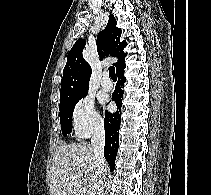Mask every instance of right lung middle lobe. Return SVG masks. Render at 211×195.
<instances>
[{"label": "right lung middle lobe", "instance_id": "obj_1", "mask_svg": "<svg viewBox=\"0 0 211 195\" xmlns=\"http://www.w3.org/2000/svg\"><path fill=\"white\" fill-rule=\"evenodd\" d=\"M84 96L60 103L59 115H60L62 134L64 136H66L67 134H69L72 131V115H73L74 106Z\"/></svg>", "mask_w": 211, "mask_h": 195}]
</instances>
